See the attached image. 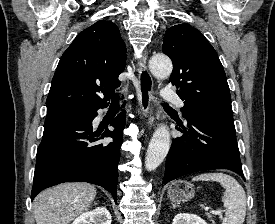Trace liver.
I'll return each instance as SVG.
<instances>
[{
  "mask_svg": "<svg viewBox=\"0 0 275 224\" xmlns=\"http://www.w3.org/2000/svg\"><path fill=\"white\" fill-rule=\"evenodd\" d=\"M96 196V189L88 183H62L41 192L34 200L37 224H69L86 211Z\"/></svg>",
  "mask_w": 275,
  "mask_h": 224,
  "instance_id": "obj_1",
  "label": "liver"
}]
</instances>
